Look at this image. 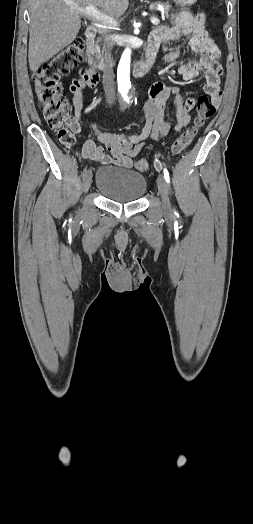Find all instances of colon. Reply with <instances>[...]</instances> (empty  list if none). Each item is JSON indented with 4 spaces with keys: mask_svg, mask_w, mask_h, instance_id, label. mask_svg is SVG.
<instances>
[{
    "mask_svg": "<svg viewBox=\"0 0 253 524\" xmlns=\"http://www.w3.org/2000/svg\"><path fill=\"white\" fill-rule=\"evenodd\" d=\"M86 46L87 40L83 36L77 37L44 63L32 76L34 92L43 116L49 128L56 132L59 142L65 147L73 146L76 137L68 121L69 105L60 78L81 64ZM100 75L99 70L79 69V75L68 81L69 93L77 97L84 96L86 90L99 85ZM214 114L215 108L208 96L201 95L197 100V114L192 124L172 143L170 154L172 156L181 154L191 144L199 129ZM136 168L139 171H146L149 163L145 159H139Z\"/></svg>",
    "mask_w": 253,
    "mask_h": 524,
    "instance_id": "obj_1",
    "label": "colon"
}]
</instances>
